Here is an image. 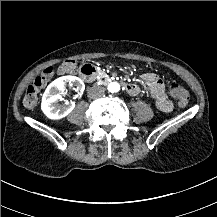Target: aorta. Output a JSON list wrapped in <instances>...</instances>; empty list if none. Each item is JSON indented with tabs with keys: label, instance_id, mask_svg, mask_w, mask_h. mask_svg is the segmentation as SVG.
I'll list each match as a JSON object with an SVG mask.
<instances>
[{
	"label": "aorta",
	"instance_id": "aorta-1",
	"mask_svg": "<svg viewBox=\"0 0 217 217\" xmlns=\"http://www.w3.org/2000/svg\"><path fill=\"white\" fill-rule=\"evenodd\" d=\"M120 90V84L119 83H115L114 85V92H118Z\"/></svg>",
	"mask_w": 217,
	"mask_h": 217
}]
</instances>
